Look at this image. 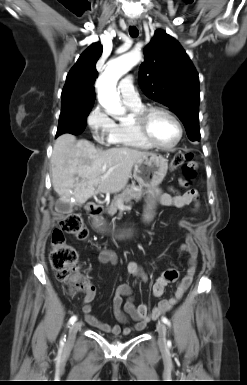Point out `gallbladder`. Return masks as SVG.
Returning a JSON list of instances; mask_svg holds the SVG:
<instances>
[{
	"mask_svg": "<svg viewBox=\"0 0 247 385\" xmlns=\"http://www.w3.org/2000/svg\"><path fill=\"white\" fill-rule=\"evenodd\" d=\"M55 210L60 214H69L73 211V204L58 200L55 204Z\"/></svg>",
	"mask_w": 247,
	"mask_h": 385,
	"instance_id": "bac80fb5",
	"label": "gallbladder"
}]
</instances>
